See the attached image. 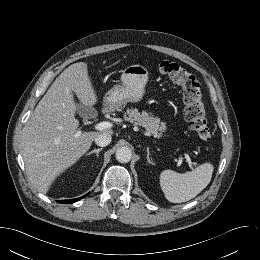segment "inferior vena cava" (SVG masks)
<instances>
[{
  "label": "inferior vena cava",
  "mask_w": 260,
  "mask_h": 260,
  "mask_svg": "<svg viewBox=\"0 0 260 260\" xmlns=\"http://www.w3.org/2000/svg\"><path fill=\"white\" fill-rule=\"evenodd\" d=\"M111 139L112 137L109 133L103 132L95 137V143L98 146L105 147L110 144Z\"/></svg>",
  "instance_id": "obj_1"
}]
</instances>
